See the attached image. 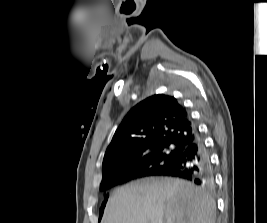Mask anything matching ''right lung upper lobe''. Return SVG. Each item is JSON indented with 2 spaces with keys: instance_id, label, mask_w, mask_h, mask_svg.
Wrapping results in <instances>:
<instances>
[{
  "instance_id": "cb5924a9",
  "label": "right lung upper lobe",
  "mask_w": 267,
  "mask_h": 223,
  "mask_svg": "<svg viewBox=\"0 0 267 223\" xmlns=\"http://www.w3.org/2000/svg\"><path fill=\"white\" fill-rule=\"evenodd\" d=\"M197 137L186 108L174 97L153 95L133 107L116 130L103 160L104 182L137 171L136 163L165 146L183 151Z\"/></svg>"
}]
</instances>
